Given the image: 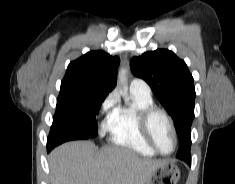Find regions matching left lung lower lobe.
Listing matches in <instances>:
<instances>
[{
  "label": "left lung lower lobe",
  "instance_id": "1",
  "mask_svg": "<svg viewBox=\"0 0 235 184\" xmlns=\"http://www.w3.org/2000/svg\"><path fill=\"white\" fill-rule=\"evenodd\" d=\"M189 166L191 165V160L185 161Z\"/></svg>",
  "mask_w": 235,
  "mask_h": 184
}]
</instances>
